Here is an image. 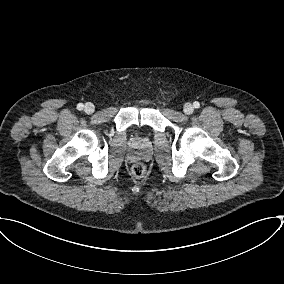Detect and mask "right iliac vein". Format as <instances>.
Listing matches in <instances>:
<instances>
[{"label": "right iliac vein", "instance_id": "obj_1", "mask_svg": "<svg viewBox=\"0 0 284 284\" xmlns=\"http://www.w3.org/2000/svg\"><path fill=\"white\" fill-rule=\"evenodd\" d=\"M84 111L87 114H92L95 111V107L92 103H86L84 106Z\"/></svg>", "mask_w": 284, "mask_h": 284}]
</instances>
